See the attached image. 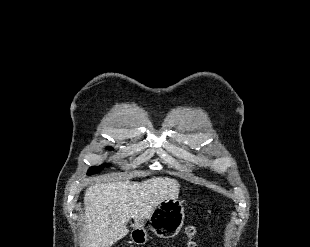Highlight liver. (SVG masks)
Instances as JSON below:
<instances>
[{
	"label": "liver",
	"mask_w": 310,
	"mask_h": 247,
	"mask_svg": "<svg viewBox=\"0 0 310 247\" xmlns=\"http://www.w3.org/2000/svg\"><path fill=\"white\" fill-rule=\"evenodd\" d=\"M180 185L168 177H153L143 182H98L85 191L84 247H111L125 237L127 222L144 225L158 204L177 198Z\"/></svg>",
	"instance_id": "liver-1"
}]
</instances>
